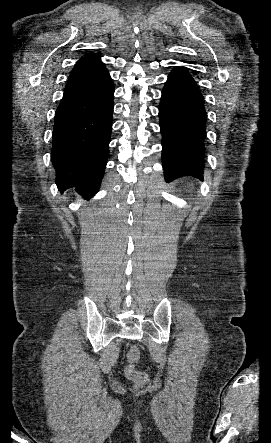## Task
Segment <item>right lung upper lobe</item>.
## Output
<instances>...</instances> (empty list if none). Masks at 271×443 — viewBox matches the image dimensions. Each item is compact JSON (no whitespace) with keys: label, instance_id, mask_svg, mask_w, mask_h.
I'll use <instances>...</instances> for the list:
<instances>
[{"label":"right lung upper lobe","instance_id":"obj_1","mask_svg":"<svg viewBox=\"0 0 271 443\" xmlns=\"http://www.w3.org/2000/svg\"><path fill=\"white\" fill-rule=\"evenodd\" d=\"M110 78L100 56L86 54L74 66L66 88L78 85H92Z\"/></svg>","mask_w":271,"mask_h":443}]
</instances>
